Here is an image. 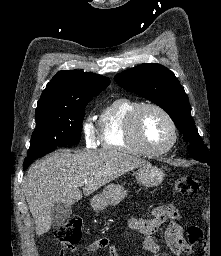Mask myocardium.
Masks as SVG:
<instances>
[{
    "label": "myocardium",
    "mask_w": 221,
    "mask_h": 256,
    "mask_svg": "<svg viewBox=\"0 0 221 256\" xmlns=\"http://www.w3.org/2000/svg\"><path fill=\"white\" fill-rule=\"evenodd\" d=\"M152 108L159 111L168 121L170 130H171V139L170 141L162 148H151L149 147L142 138L141 131H140V119L142 113L148 109ZM126 134L128 140L134 144L141 152L145 155L150 156H159L166 154L169 152L178 140V129L175 123V120L171 116V114L161 105L157 103H142L140 104L130 115L127 127H126Z\"/></svg>",
    "instance_id": "1"
}]
</instances>
